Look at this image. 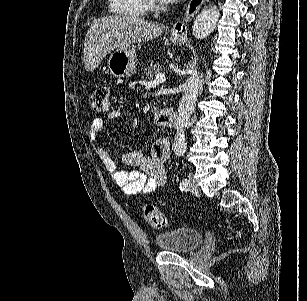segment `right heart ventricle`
Wrapping results in <instances>:
<instances>
[{"instance_id": "e07e8e85", "label": "right heart ventricle", "mask_w": 307, "mask_h": 301, "mask_svg": "<svg viewBox=\"0 0 307 301\" xmlns=\"http://www.w3.org/2000/svg\"><path fill=\"white\" fill-rule=\"evenodd\" d=\"M109 12L114 17H141V10L146 0H109Z\"/></svg>"}]
</instances>
